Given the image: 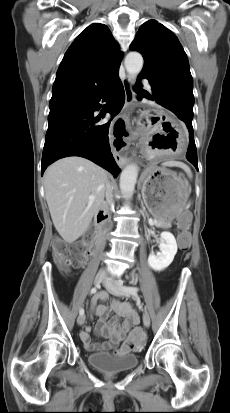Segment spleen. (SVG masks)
I'll return each mask as SVG.
<instances>
[{
    "mask_svg": "<svg viewBox=\"0 0 230 413\" xmlns=\"http://www.w3.org/2000/svg\"><path fill=\"white\" fill-rule=\"evenodd\" d=\"M162 165H163V166H168V167H179V168H182V169L186 172V174L188 175V177H189V178H192V173H191L190 168H189L186 164H184L183 162L167 161V162H164Z\"/></svg>",
    "mask_w": 230,
    "mask_h": 413,
    "instance_id": "spleen-1",
    "label": "spleen"
}]
</instances>
